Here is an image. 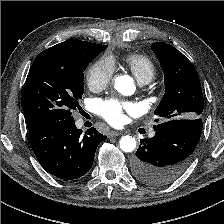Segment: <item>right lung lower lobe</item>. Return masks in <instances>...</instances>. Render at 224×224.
I'll return each mask as SVG.
<instances>
[{
	"instance_id": "1",
	"label": "right lung lower lobe",
	"mask_w": 224,
	"mask_h": 224,
	"mask_svg": "<svg viewBox=\"0 0 224 224\" xmlns=\"http://www.w3.org/2000/svg\"><path fill=\"white\" fill-rule=\"evenodd\" d=\"M28 130L29 143L42 167L64 180L85 175L92 167L97 146L107 138L94 127L83 135L74 119L46 121Z\"/></svg>"
}]
</instances>
